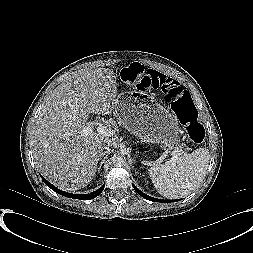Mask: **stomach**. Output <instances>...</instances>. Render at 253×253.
<instances>
[{
	"mask_svg": "<svg viewBox=\"0 0 253 253\" xmlns=\"http://www.w3.org/2000/svg\"><path fill=\"white\" fill-rule=\"evenodd\" d=\"M115 115L128 131L144 142L161 144L170 150L178 141L179 126L175 117L146 94H119Z\"/></svg>",
	"mask_w": 253,
	"mask_h": 253,
	"instance_id": "obj_1",
	"label": "stomach"
}]
</instances>
